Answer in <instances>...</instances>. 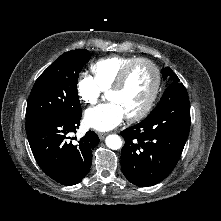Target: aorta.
<instances>
[{"mask_svg": "<svg viewBox=\"0 0 221 221\" xmlns=\"http://www.w3.org/2000/svg\"><path fill=\"white\" fill-rule=\"evenodd\" d=\"M106 146L112 150H118L122 147V140L116 134L108 135L105 139Z\"/></svg>", "mask_w": 221, "mask_h": 221, "instance_id": "aorta-1", "label": "aorta"}]
</instances>
